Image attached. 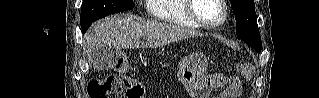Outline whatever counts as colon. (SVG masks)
Returning <instances> with one entry per match:
<instances>
[{
    "label": "colon",
    "instance_id": "colon-1",
    "mask_svg": "<svg viewBox=\"0 0 319 98\" xmlns=\"http://www.w3.org/2000/svg\"><path fill=\"white\" fill-rule=\"evenodd\" d=\"M117 74L111 73L90 81L87 93L89 98H144V88L140 83L132 81L124 75L128 68V61L123 53H120L116 59ZM244 75L249 72V67L245 64L240 66ZM238 93L234 89L223 97H235Z\"/></svg>",
    "mask_w": 319,
    "mask_h": 98
}]
</instances>
